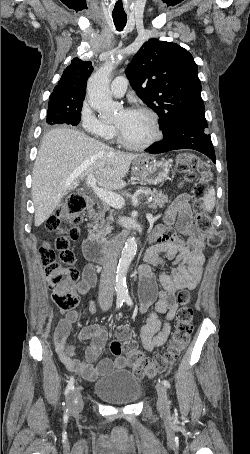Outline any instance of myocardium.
Here are the masks:
<instances>
[{
  "instance_id": "1",
  "label": "myocardium",
  "mask_w": 250,
  "mask_h": 454,
  "mask_svg": "<svg viewBox=\"0 0 250 454\" xmlns=\"http://www.w3.org/2000/svg\"><path fill=\"white\" fill-rule=\"evenodd\" d=\"M126 111H137V112H142V113L147 114L153 122L154 134L149 140H147L146 142H144L142 144H133V143L129 142L128 140H126V138L122 134L120 128L115 124L114 125L115 134H116L118 142L121 145H123L124 147H126L130 150L142 151V150H146V149L150 148L151 146H153L155 143H157L162 138V129H161V124H160V119L155 111H153L152 109L145 107V106H135L130 109H127Z\"/></svg>"
}]
</instances>
